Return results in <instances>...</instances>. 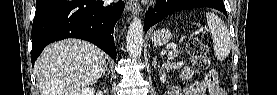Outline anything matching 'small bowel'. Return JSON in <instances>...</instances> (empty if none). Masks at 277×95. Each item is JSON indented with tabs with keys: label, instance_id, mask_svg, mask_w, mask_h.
Segmentation results:
<instances>
[{
	"label": "small bowel",
	"instance_id": "small-bowel-1",
	"mask_svg": "<svg viewBox=\"0 0 277 95\" xmlns=\"http://www.w3.org/2000/svg\"><path fill=\"white\" fill-rule=\"evenodd\" d=\"M194 72L189 66H184L179 73V78L183 81H189L194 78ZM166 95H224V91L216 84L210 83L204 77L203 81L198 83H189L183 88L170 87L165 92Z\"/></svg>",
	"mask_w": 277,
	"mask_h": 95
}]
</instances>
